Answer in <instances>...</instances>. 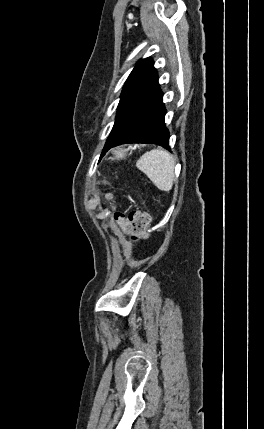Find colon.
<instances>
[{
	"label": "colon",
	"instance_id": "obj_1",
	"mask_svg": "<svg viewBox=\"0 0 264 429\" xmlns=\"http://www.w3.org/2000/svg\"><path fill=\"white\" fill-rule=\"evenodd\" d=\"M115 221L129 230L134 239H138L147 237L151 217L144 210H135L127 216L120 212L116 213Z\"/></svg>",
	"mask_w": 264,
	"mask_h": 429
}]
</instances>
